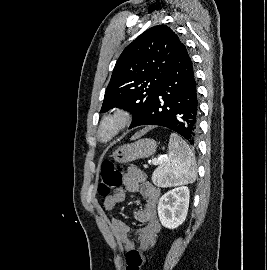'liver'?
<instances>
[{
  "mask_svg": "<svg viewBox=\"0 0 267 270\" xmlns=\"http://www.w3.org/2000/svg\"><path fill=\"white\" fill-rule=\"evenodd\" d=\"M147 131H148V129H144V130L140 131L139 133H137V134L133 137V139L138 138L139 136L143 135V134L146 133Z\"/></svg>",
  "mask_w": 267,
  "mask_h": 270,
  "instance_id": "obj_1",
  "label": "liver"
}]
</instances>
